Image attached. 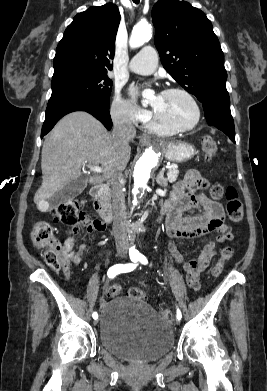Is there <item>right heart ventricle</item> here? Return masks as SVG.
Returning <instances> with one entry per match:
<instances>
[{"mask_svg":"<svg viewBox=\"0 0 267 391\" xmlns=\"http://www.w3.org/2000/svg\"><path fill=\"white\" fill-rule=\"evenodd\" d=\"M151 130L154 131V132H156V133H159V134H161V135H168V134H171L170 131H167V130H164V129L160 128V127H157V126L154 125V124L151 126Z\"/></svg>","mask_w":267,"mask_h":391,"instance_id":"e07e8e85","label":"right heart ventricle"}]
</instances>
